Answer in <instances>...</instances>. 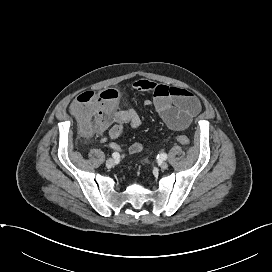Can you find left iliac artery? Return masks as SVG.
<instances>
[{
	"mask_svg": "<svg viewBox=\"0 0 272 272\" xmlns=\"http://www.w3.org/2000/svg\"><path fill=\"white\" fill-rule=\"evenodd\" d=\"M162 160H166L167 159V154L163 153V154H160L159 156Z\"/></svg>",
	"mask_w": 272,
	"mask_h": 272,
	"instance_id": "obj_1",
	"label": "left iliac artery"
}]
</instances>
